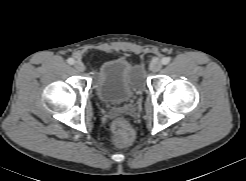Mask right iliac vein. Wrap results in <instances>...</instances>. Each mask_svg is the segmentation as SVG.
<instances>
[{
	"instance_id": "1",
	"label": "right iliac vein",
	"mask_w": 246,
	"mask_h": 181,
	"mask_svg": "<svg viewBox=\"0 0 246 181\" xmlns=\"http://www.w3.org/2000/svg\"><path fill=\"white\" fill-rule=\"evenodd\" d=\"M74 67L79 72H83L85 70V66H84V64L81 61H76L74 63Z\"/></svg>"
}]
</instances>
